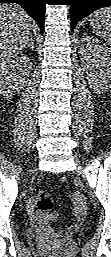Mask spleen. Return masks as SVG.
<instances>
[{
    "instance_id": "3e777b00",
    "label": "spleen",
    "mask_w": 111,
    "mask_h": 257,
    "mask_svg": "<svg viewBox=\"0 0 111 257\" xmlns=\"http://www.w3.org/2000/svg\"><path fill=\"white\" fill-rule=\"evenodd\" d=\"M89 21L96 34L111 46V7L96 10Z\"/></svg>"
}]
</instances>
